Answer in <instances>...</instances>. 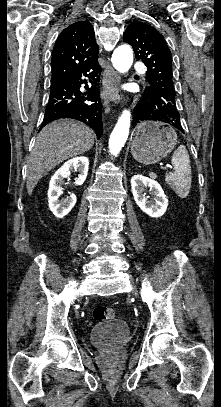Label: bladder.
I'll list each match as a JSON object with an SVG mask.
<instances>
[{
    "label": "bladder",
    "mask_w": 221,
    "mask_h": 407,
    "mask_svg": "<svg viewBox=\"0 0 221 407\" xmlns=\"http://www.w3.org/2000/svg\"><path fill=\"white\" fill-rule=\"evenodd\" d=\"M130 326L124 319L108 324H95L89 331L90 342L100 348H121L130 340Z\"/></svg>",
    "instance_id": "1"
}]
</instances>
